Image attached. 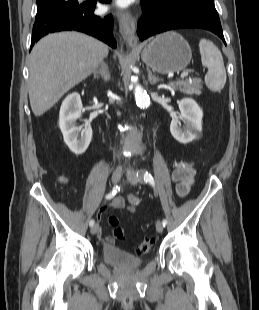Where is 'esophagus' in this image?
Segmentation results:
<instances>
[{
    "instance_id": "1",
    "label": "esophagus",
    "mask_w": 259,
    "mask_h": 310,
    "mask_svg": "<svg viewBox=\"0 0 259 310\" xmlns=\"http://www.w3.org/2000/svg\"><path fill=\"white\" fill-rule=\"evenodd\" d=\"M116 17L119 22L120 33L123 39L131 48H136L137 37L135 34V20L128 12L121 10L116 11Z\"/></svg>"
}]
</instances>
